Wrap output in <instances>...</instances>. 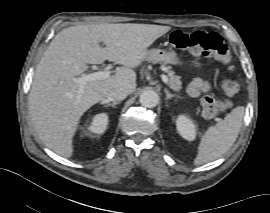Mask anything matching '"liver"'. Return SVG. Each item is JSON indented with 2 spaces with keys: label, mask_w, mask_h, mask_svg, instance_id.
Instances as JSON below:
<instances>
[{
  "label": "liver",
  "mask_w": 270,
  "mask_h": 213,
  "mask_svg": "<svg viewBox=\"0 0 270 213\" xmlns=\"http://www.w3.org/2000/svg\"><path fill=\"white\" fill-rule=\"evenodd\" d=\"M170 29L151 24H92L56 34L36 67L29 97L30 116L42 142L58 155L71 157L81 116L114 89L133 93L137 88L134 68L145 60L148 47ZM105 60L122 67L107 79L88 82L79 95L73 79L88 64Z\"/></svg>",
  "instance_id": "liver-1"
}]
</instances>
